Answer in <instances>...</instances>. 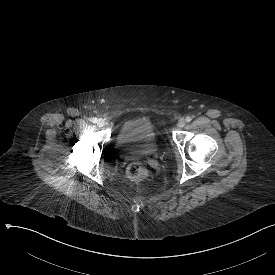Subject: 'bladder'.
Listing matches in <instances>:
<instances>
[{
    "label": "bladder",
    "mask_w": 275,
    "mask_h": 275,
    "mask_svg": "<svg viewBox=\"0 0 275 275\" xmlns=\"http://www.w3.org/2000/svg\"><path fill=\"white\" fill-rule=\"evenodd\" d=\"M154 131L153 122L148 116L128 119L116 132L117 146L130 154L152 157L158 152Z\"/></svg>",
    "instance_id": "31cf9c89"
}]
</instances>
